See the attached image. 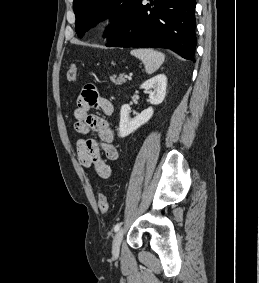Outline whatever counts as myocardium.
<instances>
[{"label": "myocardium", "mask_w": 259, "mask_h": 283, "mask_svg": "<svg viewBox=\"0 0 259 283\" xmlns=\"http://www.w3.org/2000/svg\"><path fill=\"white\" fill-rule=\"evenodd\" d=\"M112 24V20L110 18H106L104 20H102L99 24L101 29H107L108 27H110Z\"/></svg>", "instance_id": "1"}]
</instances>
